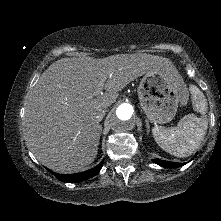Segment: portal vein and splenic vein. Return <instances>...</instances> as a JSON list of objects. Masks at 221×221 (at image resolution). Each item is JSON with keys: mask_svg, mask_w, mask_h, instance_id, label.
Segmentation results:
<instances>
[{"mask_svg": "<svg viewBox=\"0 0 221 221\" xmlns=\"http://www.w3.org/2000/svg\"><path fill=\"white\" fill-rule=\"evenodd\" d=\"M105 81H106V77L101 78L100 82L97 84V87L93 93V96L99 95L102 92Z\"/></svg>", "mask_w": 221, "mask_h": 221, "instance_id": "18ae733b", "label": "portal vein and splenic vein"}]
</instances>
